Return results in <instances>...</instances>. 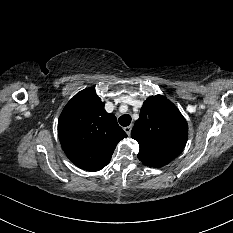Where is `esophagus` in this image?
<instances>
[{
  "mask_svg": "<svg viewBox=\"0 0 233 233\" xmlns=\"http://www.w3.org/2000/svg\"><path fill=\"white\" fill-rule=\"evenodd\" d=\"M131 129H132V126L124 127V131L127 133L128 136H130L131 134Z\"/></svg>",
  "mask_w": 233,
  "mask_h": 233,
  "instance_id": "esophagus-1",
  "label": "esophagus"
}]
</instances>
